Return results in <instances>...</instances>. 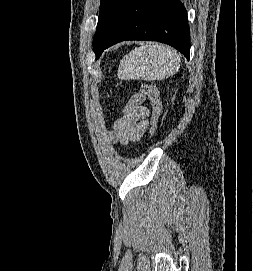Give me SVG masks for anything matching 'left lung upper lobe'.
I'll use <instances>...</instances> for the list:
<instances>
[{"instance_id":"left-lung-upper-lobe-1","label":"left lung upper lobe","mask_w":253,"mask_h":271,"mask_svg":"<svg viewBox=\"0 0 253 271\" xmlns=\"http://www.w3.org/2000/svg\"><path fill=\"white\" fill-rule=\"evenodd\" d=\"M130 0H101L100 14L93 40L96 58L124 15Z\"/></svg>"}]
</instances>
